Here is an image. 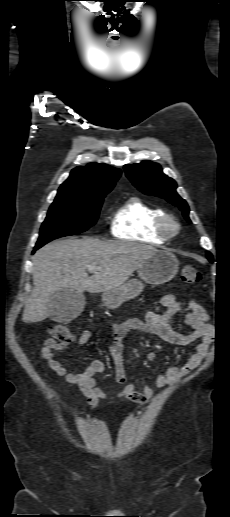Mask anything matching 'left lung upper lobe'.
<instances>
[{
	"label": "left lung upper lobe",
	"instance_id": "obj_1",
	"mask_svg": "<svg viewBox=\"0 0 230 517\" xmlns=\"http://www.w3.org/2000/svg\"><path fill=\"white\" fill-rule=\"evenodd\" d=\"M127 177L143 193L147 195L159 196L174 206L178 207L188 222L189 207L184 199L176 192V182L163 174L159 164L151 161H143L139 164H127L124 166ZM207 258L212 262L213 257L210 252Z\"/></svg>",
	"mask_w": 230,
	"mask_h": 517
}]
</instances>
